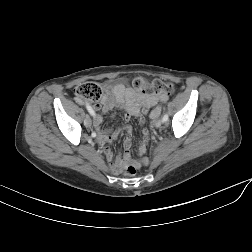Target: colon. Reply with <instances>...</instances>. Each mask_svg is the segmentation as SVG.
<instances>
[{
    "label": "colon",
    "instance_id": "colon-1",
    "mask_svg": "<svg viewBox=\"0 0 252 252\" xmlns=\"http://www.w3.org/2000/svg\"><path fill=\"white\" fill-rule=\"evenodd\" d=\"M133 86L144 93L149 94H169L173 90V84L167 81L157 79L148 84L142 77H137L133 81ZM75 93L81 100L88 102H97L102 98L100 86L93 82H85L76 87ZM138 164L131 163L125 167L127 176H134L137 173Z\"/></svg>",
    "mask_w": 252,
    "mask_h": 252
}]
</instances>
